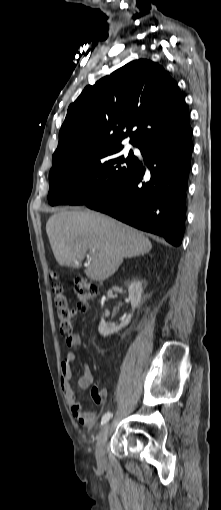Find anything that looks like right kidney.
<instances>
[{
	"label": "right kidney",
	"instance_id": "obj_1",
	"mask_svg": "<svg viewBox=\"0 0 221 510\" xmlns=\"http://www.w3.org/2000/svg\"><path fill=\"white\" fill-rule=\"evenodd\" d=\"M128 292H129V300L131 302L132 311H134L135 308H137L141 303L142 293H143L142 283L140 281L131 282L128 287ZM131 318H132V314H129L128 316L124 317L121 320L120 325H115L114 323H106L102 319L99 324L98 331L104 337L109 336L113 333L118 332L123 327L127 326L130 323Z\"/></svg>",
	"mask_w": 221,
	"mask_h": 510
}]
</instances>
